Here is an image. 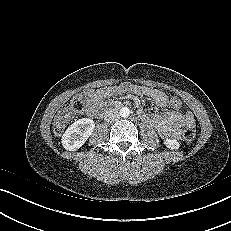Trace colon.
Listing matches in <instances>:
<instances>
[{"instance_id": "colon-1", "label": "colon", "mask_w": 231, "mask_h": 231, "mask_svg": "<svg viewBox=\"0 0 231 231\" xmlns=\"http://www.w3.org/2000/svg\"><path fill=\"white\" fill-rule=\"evenodd\" d=\"M171 107L175 109H181L182 100L176 96H172L169 98ZM86 109V103L82 96L76 95L72 98L69 103V106L63 108L58 114L55 116L53 121V130L54 133L60 135L66 128L67 123L69 122L71 115L74 114H82ZM183 139L187 142H191L194 140L196 136L195 129L193 127H186L182 132Z\"/></svg>"}]
</instances>
